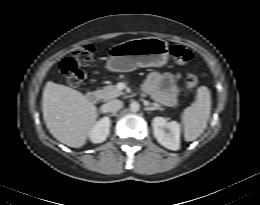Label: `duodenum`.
<instances>
[{
    "instance_id": "1",
    "label": "duodenum",
    "mask_w": 260,
    "mask_h": 205,
    "mask_svg": "<svg viewBox=\"0 0 260 205\" xmlns=\"http://www.w3.org/2000/svg\"><path fill=\"white\" fill-rule=\"evenodd\" d=\"M86 99L92 104H96L99 100V94L96 91H89L86 93Z\"/></svg>"
}]
</instances>
